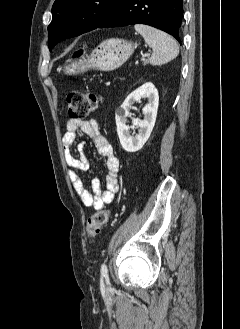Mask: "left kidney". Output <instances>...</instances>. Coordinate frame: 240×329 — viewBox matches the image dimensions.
<instances>
[{"label": "left kidney", "mask_w": 240, "mask_h": 329, "mask_svg": "<svg viewBox=\"0 0 240 329\" xmlns=\"http://www.w3.org/2000/svg\"><path fill=\"white\" fill-rule=\"evenodd\" d=\"M142 97L148 98V103L143 108L144 119H133L132 128L139 127L138 134L130 135V126L127 125V117H131L130 109L135 102ZM159 96L153 83H145L125 99L120 108L116 111L115 119L117 134L122 148L127 152H136L146 143L155 125Z\"/></svg>", "instance_id": "obj_1"}]
</instances>
